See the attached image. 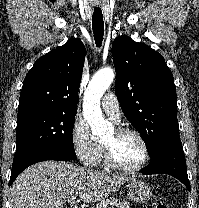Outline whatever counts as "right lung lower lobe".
Instances as JSON below:
<instances>
[{
	"mask_svg": "<svg viewBox=\"0 0 199 208\" xmlns=\"http://www.w3.org/2000/svg\"><path fill=\"white\" fill-rule=\"evenodd\" d=\"M45 160L70 161L71 159L55 151L32 153L29 156L24 157L18 162L12 164V171H11L9 185H12L14 180L17 178V176L28 166Z\"/></svg>",
	"mask_w": 199,
	"mask_h": 208,
	"instance_id": "98d812e1",
	"label": "right lung lower lobe"
}]
</instances>
